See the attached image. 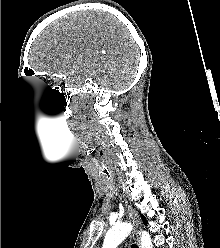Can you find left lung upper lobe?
Wrapping results in <instances>:
<instances>
[{
    "instance_id": "1",
    "label": "left lung upper lobe",
    "mask_w": 220,
    "mask_h": 248,
    "mask_svg": "<svg viewBox=\"0 0 220 248\" xmlns=\"http://www.w3.org/2000/svg\"><path fill=\"white\" fill-rule=\"evenodd\" d=\"M142 219H143L144 223L147 225V220H146V218H145L144 216H142Z\"/></svg>"
}]
</instances>
